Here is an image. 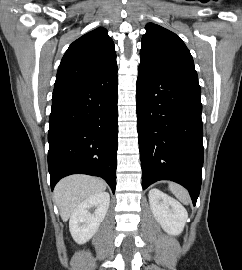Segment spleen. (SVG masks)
Masks as SVG:
<instances>
[{"label": "spleen", "mask_w": 242, "mask_h": 270, "mask_svg": "<svg viewBox=\"0 0 242 270\" xmlns=\"http://www.w3.org/2000/svg\"><path fill=\"white\" fill-rule=\"evenodd\" d=\"M169 189L175 195V197L179 199V201L184 204H189L190 197L186 189L175 183H170Z\"/></svg>", "instance_id": "spleen-1"}]
</instances>
